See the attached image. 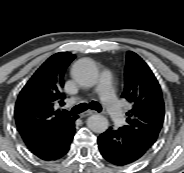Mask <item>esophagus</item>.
I'll return each mask as SVG.
<instances>
[{
	"instance_id": "esophagus-1",
	"label": "esophagus",
	"mask_w": 184,
	"mask_h": 173,
	"mask_svg": "<svg viewBox=\"0 0 184 173\" xmlns=\"http://www.w3.org/2000/svg\"><path fill=\"white\" fill-rule=\"evenodd\" d=\"M96 112L93 111V110H87V111H84L80 114V117L81 118H84V117H87V116H90V115H93L95 114Z\"/></svg>"
}]
</instances>
